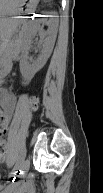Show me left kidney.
Masks as SVG:
<instances>
[{"label": "left kidney", "mask_w": 103, "mask_h": 193, "mask_svg": "<svg viewBox=\"0 0 103 193\" xmlns=\"http://www.w3.org/2000/svg\"><path fill=\"white\" fill-rule=\"evenodd\" d=\"M43 22L44 20L42 19L35 20L31 29L32 34H36L38 32L40 36H45V39L43 40L42 44L41 54L39 55L37 60L33 61L32 64L28 63L25 58L20 61V72L22 76L27 80H31L34 75L44 67L54 47L57 35L58 21L57 19H50L47 23L49 25L47 31H42V29L40 28V24ZM29 44L30 40H26L23 44L22 55L24 57L28 52Z\"/></svg>", "instance_id": "1"}]
</instances>
